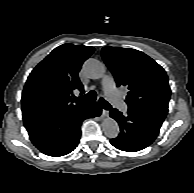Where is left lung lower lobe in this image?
Returning a JSON list of instances; mask_svg holds the SVG:
<instances>
[{"instance_id":"0a47b994","label":"left lung lower lobe","mask_w":194,"mask_h":193,"mask_svg":"<svg viewBox=\"0 0 194 193\" xmlns=\"http://www.w3.org/2000/svg\"><path fill=\"white\" fill-rule=\"evenodd\" d=\"M110 116L120 126L118 137L111 139L110 143L117 149L127 152H136L149 146L156 139L163 123L129 110L123 115L117 109H112Z\"/></svg>"}]
</instances>
